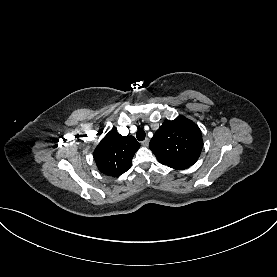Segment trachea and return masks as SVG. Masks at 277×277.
Returning a JSON list of instances; mask_svg holds the SVG:
<instances>
[{
  "mask_svg": "<svg viewBox=\"0 0 277 277\" xmlns=\"http://www.w3.org/2000/svg\"><path fill=\"white\" fill-rule=\"evenodd\" d=\"M146 133L143 129H139L136 133V137L139 141H143L145 139Z\"/></svg>",
  "mask_w": 277,
  "mask_h": 277,
  "instance_id": "1",
  "label": "trachea"
}]
</instances>
